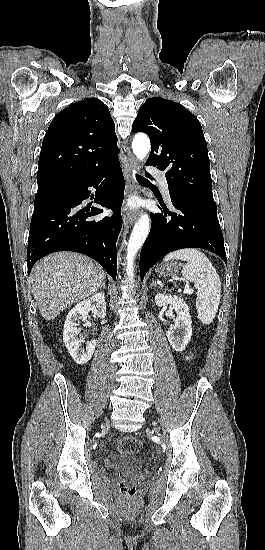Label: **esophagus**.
<instances>
[{
  "instance_id": "obj_1",
  "label": "esophagus",
  "mask_w": 265,
  "mask_h": 550,
  "mask_svg": "<svg viewBox=\"0 0 265 550\" xmlns=\"http://www.w3.org/2000/svg\"><path fill=\"white\" fill-rule=\"evenodd\" d=\"M138 168H139V165L137 160L131 153H129L127 164H126V170H125L129 192H132L136 189V181L134 178V173ZM138 216H139V211L126 212L124 215V221L127 224H132L137 220Z\"/></svg>"
}]
</instances>
